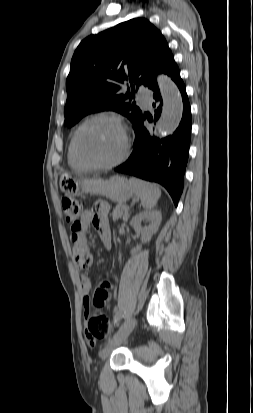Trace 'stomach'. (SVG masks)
<instances>
[{"label":"stomach","instance_id":"1","mask_svg":"<svg viewBox=\"0 0 253 413\" xmlns=\"http://www.w3.org/2000/svg\"><path fill=\"white\" fill-rule=\"evenodd\" d=\"M60 188L62 192L72 197L89 193L105 196L118 203L126 202L134 194L132 185L123 176H113L109 180H101L63 174L60 178Z\"/></svg>","mask_w":253,"mask_h":413}]
</instances>
